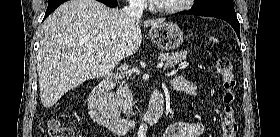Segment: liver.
Here are the masks:
<instances>
[{
    "label": "liver",
    "instance_id": "liver-1",
    "mask_svg": "<svg viewBox=\"0 0 280 137\" xmlns=\"http://www.w3.org/2000/svg\"><path fill=\"white\" fill-rule=\"evenodd\" d=\"M164 19H149L144 27ZM140 22L96 0H69L43 23L37 57L40 98L50 108L81 83L109 74L139 49ZM101 53L102 56H97Z\"/></svg>",
    "mask_w": 280,
    "mask_h": 137
}]
</instances>
